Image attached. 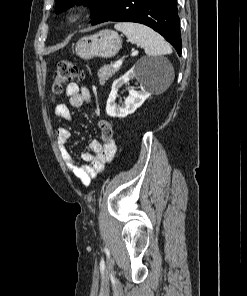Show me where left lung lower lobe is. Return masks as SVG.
Wrapping results in <instances>:
<instances>
[{
	"label": "left lung lower lobe",
	"instance_id": "left-lung-lower-lobe-1",
	"mask_svg": "<svg viewBox=\"0 0 247 296\" xmlns=\"http://www.w3.org/2000/svg\"><path fill=\"white\" fill-rule=\"evenodd\" d=\"M177 0H111L93 18L92 25L107 21L136 22L160 33L181 55Z\"/></svg>",
	"mask_w": 247,
	"mask_h": 296
}]
</instances>
